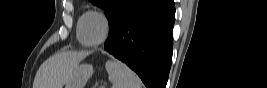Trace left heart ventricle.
Returning a JSON list of instances; mask_svg holds the SVG:
<instances>
[{
  "mask_svg": "<svg viewBox=\"0 0 267 88\" xmlns=\"http://www.w3.org/2000/svg\"><path fill=\"white\" fill-rule=\"evenodd\" d=\"M104 33V25L96 16H89L85 21L84 35L87 41L96 42Z\"/></svg>",
  "mask_w": 267,
  "mask_h": 88,
  "instance_id": "b2bd125f",
  "label": "left heart ventricle"
}]
</instances>
